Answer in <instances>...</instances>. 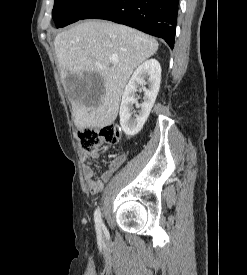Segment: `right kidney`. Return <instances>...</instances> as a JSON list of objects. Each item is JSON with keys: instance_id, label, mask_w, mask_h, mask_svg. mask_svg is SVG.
<instances>
[{"instance_id": "obj_1", "label": "right kidney", "mask_w": 247, "mask_h": 275, "mask_svg": "<svg viewBox=\"0 0 247 275\" xmlns=\"http://www.w3.org/2000/svg\"><path fill=\"white\" fill-rule=\"evenodd\" d=\"M160 82L161 66L155 59L145 61L133 73L123 92L119 112L120 125L126 135L134 136L142 129L155 103ZM146 84L148 89L145 88ZM138 89L144 91V101L140 105L137 104L136 98ZM133 104L141 108L138 114L133 111Z\"/></svg>"}]
</instances>
